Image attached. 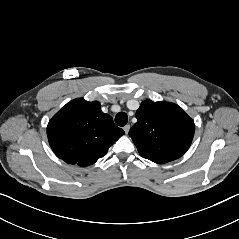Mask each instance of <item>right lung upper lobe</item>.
<instances>
[{"label": "right lung upper lobe", "mask_w": 239, "mask_h": 239, "mask_svg": "<svg viewBox=\"0 0 239 239\" xmlns=\"http://www.w3.org/2000/svg\"><path fill=\"white\" fill-rule=\"evenodd\" d=\"M122 135L124 131L101 111L99 102L83 98L66 104L47 126L49 144L57 157L81 167L105 156Z\"/></svg>", "instance_id": "cb5924a9"}]
</instances>
